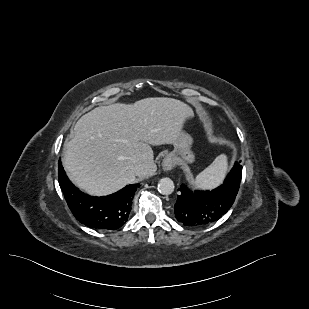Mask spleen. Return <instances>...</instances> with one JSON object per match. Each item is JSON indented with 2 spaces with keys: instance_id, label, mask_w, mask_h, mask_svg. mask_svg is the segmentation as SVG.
Listing matches in <instances>:
<instances>
[{
  "instance_id": "spleen-1",
  "label": "spleen",
  "mask_w": 309,
  "mask_h": 309,
  "mask_svg": "<svg viewBox=\"0 0 309 309\" xmlns=\"http://www.w3.org/2000/svg\"><path fill=\"white\" fill-rule=\"evenodd\" d=\"M227 156L219 155L213 163L196 176L194 184L201 189L217 187L223 180L227 171Z\"/></svg>"
}]
</instances>
